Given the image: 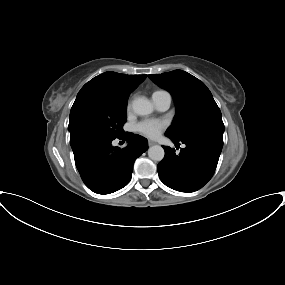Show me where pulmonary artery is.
I'll return each instance as SVG.
<instances>
[{
	"label": "pulmonary artery",
	"mask_w": 285,
	"mask_h": 285,
	"mask_svg": "<svg viewBox=\"0 0 285 285\" xmlns=\"http://www.w3.org/2000/svg\"><path fill=\"white\" fill-rule=\"evenodd\" d=\"M155 107L160 111H166L171 105V96L167 92L155 93L152 95Z\"/></svg>",
	"instance_id": "pulmonary-artery-1"
}]
</instances>
